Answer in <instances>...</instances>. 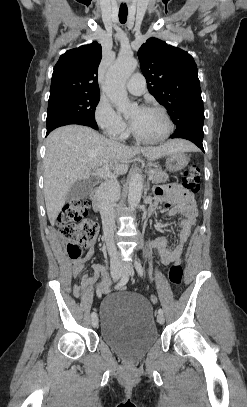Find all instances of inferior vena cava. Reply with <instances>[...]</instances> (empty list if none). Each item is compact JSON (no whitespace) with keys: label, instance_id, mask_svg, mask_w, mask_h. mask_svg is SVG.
Returning a JSON list of instances; mask_svg holds the SVG:
<instances>
[{"label":"inferior vena cava","instance_id":"obj_1","mask_svg":"<svg viewBox=\"0 0 247 407\" xmlns=\"http://www.w3.org/2000/svg\"><path fill=\"white\" fill-rule=\"evenodd\" d=\"M118 192L119 183L116 180L105 181L99 188V206L103 234L112 264L120 262L114 242V231L116 229L114 207L118 198Z\"/></svg>","mask_w":247,"mask_h":407}]
</instances>
